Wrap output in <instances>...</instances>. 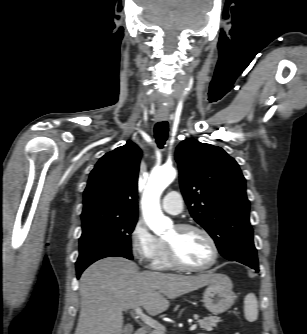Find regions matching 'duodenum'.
Instances as JSON below:
<instances>
[{"instance_id": "duodenum-1", "label": "duodenum", "mask_w": 307, "mask_h": 334, "mask_svg": "<svg viewBox=\"0 0 307 334\" xmlns=\"http://www.w3.org/2000/svg\"><path fill=\"white\" fill-rule=\"evenodd\" d=\"M134 334H147V331L145 328H138L136 329V331L134 332Z\"/></svg>"}]
</instances>
